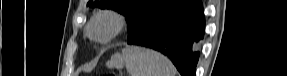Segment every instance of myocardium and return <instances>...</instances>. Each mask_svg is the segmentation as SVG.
<instances>
[{"label":"myocardium","instance_id":"obj_1","mask_svg":"<svg viewBox=\"0 0 287 76\" xmlns=\"http://www.w3.org/2000/svg\"><path fill=\"white\" fill-rule=\"evenodd\" d=\"M99 24H107L108 29L103 34H96L94 28ZM126 26V18L123 14L106 10L96 14L89 22L87 26L88 36L101 44H106L117 37Z\"/></svg>","mask_w":287,"mask_h":76}]
</instances>
